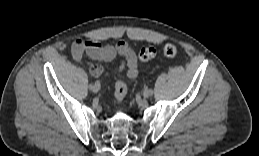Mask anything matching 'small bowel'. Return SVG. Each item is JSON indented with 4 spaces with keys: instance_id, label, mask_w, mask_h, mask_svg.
<instances>
[{
    "instance_id": "1",
    "label": "small bowel",
    "mask_w": 259,
    "mask_h": 156,
    "mask_svg": "<svg viewBox=\"0 0 259 156\" xmlns=\"http://www.w3.org/2000/svg\"><path fill=\"white\" fill-rule=\"evenodd\" d=\"M86 54L94 60L109 62L117 55L123 60L117 67L116 71L121 72L127 69V77L133 80L138 75L137 57L131 46L121 41L116 45H102L98 41L79 39L71 46V55L75 61H80L83 55ZM104 73L101 66L93 65L90 67V74L94 77H99Z\"/></svg>"
}]
</instances>
